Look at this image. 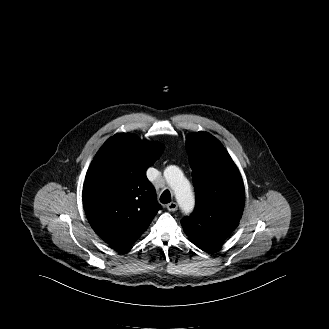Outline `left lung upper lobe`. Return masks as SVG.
<instances>
[{
	"mask_svg": "<svg viewBox=\"0 0 329 329\" xmlns=\"http://www.w3.org/2000/svg\"><path fill=\"white\" fill-rule=\"evenodd\" d=\"M186 149L193 170L196 207L181 225L194 244L227 238L243 213L241 175L223 145L206 132L190 135Z\"/></svg>",
	"mask_w": 329,
	"mask_h": 329,
	"instance_id": "left-lung-upper-lobe-1",
	"label": "left lung upper lobe"
}]
</instances>
